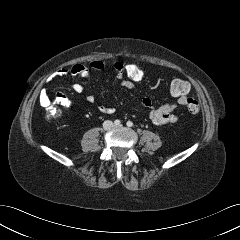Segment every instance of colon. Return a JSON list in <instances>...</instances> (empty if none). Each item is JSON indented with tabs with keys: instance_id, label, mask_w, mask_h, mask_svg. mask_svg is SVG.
<instances>
[{
	"instance_id": "5ec220e1",
	"label": "colon",
	"mask_w": 240,
	"mask_h": 240,
	"mask_svg": "<svg viewBox=\"0 0 240 240\" xmlns=\"http://www.w3.org/2000/svg\"><path fill=\"white\" fill-rule=\"evenodd\" d=\"M123 74L127 80L133 84L141 82L145 77V70L141 64L135 61L124 63ZM191 85L188 81L182 79H175L170 84V94L172 97L177 98L181 96H187L190 91ZM187 110L196 114L200 111V105L197 100L188 97L186 101ZM51 117L59 115V111L55 108L49 110Z\"/></svg>"
}]
</instances>
